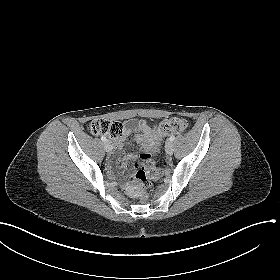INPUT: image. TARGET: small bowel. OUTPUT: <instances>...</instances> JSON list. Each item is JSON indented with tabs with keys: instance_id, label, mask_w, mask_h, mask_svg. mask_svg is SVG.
<instances>
[{
	"instance_id": "c3829d8e",
	"label": "small bowel",
	"mask_w": 280,
	"mask_h": 280,
	"mask_svg": "<svg viewBox=\"0 0 280 280\" xmlns=\"http://www.w3.org/2000/svg\"><path fill=\"white\" fill-rule=\"evenodd\" d=\"M133 135V142L136 147L139 149V157L142 159L149 157L151 152H155L158 147V135H155L154 126L149 124L146 120H130L127 121L123 128L122 134L116 137L113 141L117 149H122L125 145L126 137ZM138 155L136 154H126L121 159L122 163H127L129 161L136 160ZM110 163L115 161L110 158Z\"/></svg>"
}]
</instances>
